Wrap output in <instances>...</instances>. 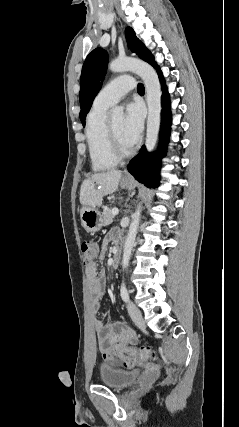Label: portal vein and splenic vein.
Listing matches in <instances>:
<instances>
[{
	"mask_svg": "<svg viewBox=\"0 0 239 427\" xmlns=\"http://www.w3.org/2000/svg\"><path fill=\"white\" fill-rule=\"evenodd\" d=\"M118 212H119V210H118V208H113L112 209V214L115 216V215H117L118 214Z\"/></svg>",
	"mask_w": 239,
	"mask_h": 427,
	"instance_id": "obj_1",
	"label": "portal vein and splenic vein"
}]
</instances>
